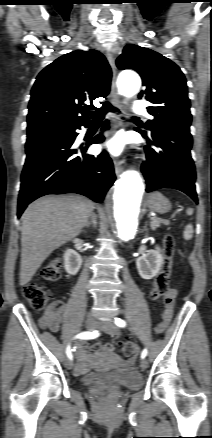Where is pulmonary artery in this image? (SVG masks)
Wrapping results in <instances>:
<instances>
[{
  "label": "pulmonary artery",
  "instance_id": "obj_1",
  "mask_svg": "<svg viewBox=\"0 0 212 438\" xmlns=\"http://www.w3.org/2000/svg\"><path fill=\"white\" fill-rule=\"evenodd\" d=\"M132 112L135 114H145L147 112L146 103L144 101L134 102L132 105Z\"/></svg>",
  "mask_w": 212,
  "mask_h": 438
}]
</instances>
